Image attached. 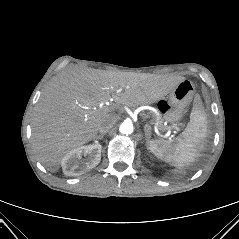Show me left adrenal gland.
<instances>
[{
  "instance_id": "1",
  "label": "left adrenal gland",
  "mask_w": 239,
  "mask_h": 239,
  "mask_svg": "<svg viewBox=\"0 0 239 239\" xmlns=\"http://www.w3.org/2000/svg\"><path fill=\"white\" fill-rule=\"evenodd\" d=\"M144 132H145V137H146V145H147V148H148V142H149L150 137H151V126L149 124H146L144 126Z\"/></svg>"
}]
</instances>
